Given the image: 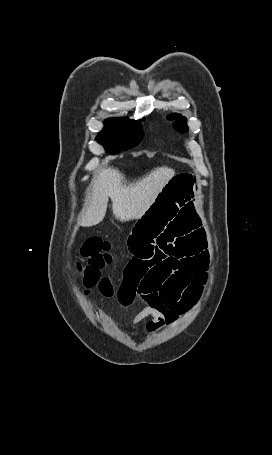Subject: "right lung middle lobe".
Returning <instances> with one entry per match:
<instances>
[{
  "instance_id": "right-lung-middle-lobe-1",
  "label": "right lung middle lobe",
  "mask_w": 272,
  "mask_h": 455,
  "mask_svg": "<svg viewBox=\"0 0 272 455\" xmlns=\"http://www.w3.org/2000/svg\"><path fill=\"white\" fill-rule=\"evenodd\" d=\"M143 135L141 121L114 118L106 121L104 130L96 139L104 146L107 153L116 154L138 145Z\"/></svg>"
}]
</instances>
